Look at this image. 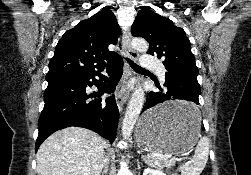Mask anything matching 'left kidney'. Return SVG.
<instances>
[{
	"label": "left kidney",
	"instance_id": "obj_1",
	"mask_svg": "<svg viewBox=\"0 0 251 175\" xmlns=\"http://www.w3.org/2000/svg\"><path fill=\"white\" fill-rule=\"evenodd\" d=\"M143 175H166L162 169H151V167H146L143 171Z\"/></svg>",
	"mask_w": 251,
	"mask_h": 175
}]
</instances>
